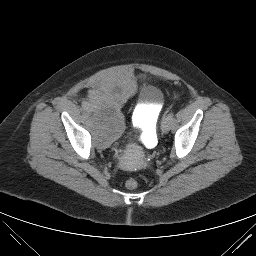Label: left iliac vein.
Returning <instances> with one entry per match:
<instances>
[{
    "label": "left iliac vein",
    "mask_w": 256,
    "mask_h": 256,
    "mask_svg": "<svg viewBox=\"0 0 256 256\" xmlns=\"http://www.w3.org/2000/svg\"><path fill=\"white\" fill-rule=\"evenodd\" d=\"M171 126V120H169L167 117L162 121L161 124V131L163 133H168Z\"/></svg>",
    "instance_id": "4c4485c4"
}]
</instances>
